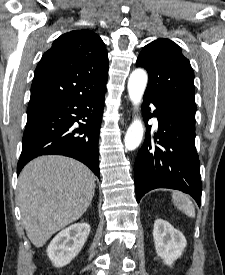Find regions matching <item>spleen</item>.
<instances>
[{"instance_id":"1","label":"spleen","mask_w":225,"mask_h":275,"mask_svg":"<svg viewBox=\"0 0 225 275\" xmlns=\"http://www.w3.org/2000/svg\"><path fill=\"white\" fill-rule=\"evenodd\" d=\"M172 201L177 209L184 212L187 216L195 217V207L188 196L181 192H173Z\"/></svg>"}]
</instances>
